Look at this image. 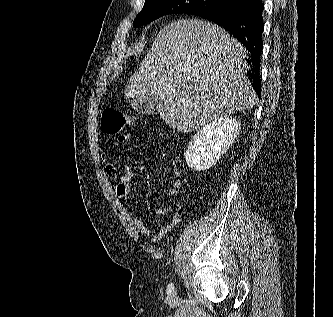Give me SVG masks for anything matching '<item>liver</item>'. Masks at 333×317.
Wrapping results in <instances>:
<instances>
[{
    "label": "liver",
    "instance_id": "liver-1",
    "mask_svg": "<svg viewBox=\"0 0 333 317\" xmlns=\"http://www.w3.org/2000/svg\"><path fill=\"white\" fill-rule=\"evenodd\" d=\"M245 58V47L219 26L174 21L159 31L125 98L160 97V117L187 133L256 104Z\"/></svg>",
    "mask_w": 333,
    "mask_h": 317
}]
</instances>
